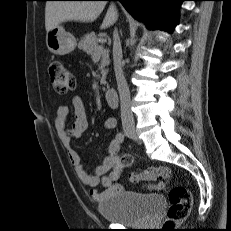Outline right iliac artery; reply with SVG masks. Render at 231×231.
Returning a JSON list of instances; mask_svg holds the SVG:
<instances>
[{
  "label": "right iliac artery",
  "instance_id": "82829eb1",
  "mask_svg": "<svg viewBox=\"0 0 231 231\" xmlns=\"http://www.w3.org/2000/svg\"><path fill=\"white\" fill-rule=\"evenodd\" d=\"M116 139L119 143H122L124 141V134L122 132L118 133Z\"/></svg>",
  "mask_w": 231,
  "mask_h": 231
}]
</instances>
